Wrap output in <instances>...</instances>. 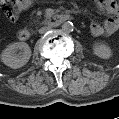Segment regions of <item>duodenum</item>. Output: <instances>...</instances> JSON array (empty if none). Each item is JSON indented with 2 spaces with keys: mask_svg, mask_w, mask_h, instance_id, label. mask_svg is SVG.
<instances>
[{
  "mask_svg": "<svg viewBox=\"0 0 119 119\" xmlns=\"http://www.w3.org/2000/svg\"><path fill=\"white\" fill-rule=\"evenodd\" d=\"M71 19H72V16L69 14H56V15L47 17L44 23L46 26H49V27H57L61 25L62 23ZM31 36H32V33L28 29H21L18 31V38L22 41H26L30 39Z\"/></svg>",
  "mask_w": 119,
  "mask_h": 119,
  "instance_id": "duodenum-1",
  "label": "duodenum"
}]
</instances>
